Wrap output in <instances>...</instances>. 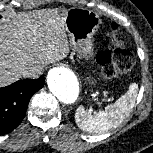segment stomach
Listing matches in <instances>:
<instances>
[{"label":"stomach","instance_id":"0dacf381","mask_svg":"<svg viewBox=\"0 0 153 153\" xmlns=\"http://www.w3.org/2000/svg\"><path fill=\"white\" fill-rule=\"evenodd\" d=\"M97 15L79 9H70L65 16V30L70 39V45L79 59H93L95 56L93 35L98 30ZM86 82L95 85V77H87Z\"/></svg>","mask_w":153,"mask_h":153}]
</instances>
